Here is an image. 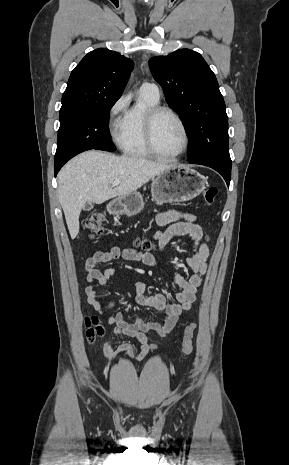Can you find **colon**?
Wrapping results in <instances>:
<instances>
[{
    "mask_svg": "<svg viewBox=\"0 0 289 465\" xmlns=\"http://www.w3.org/2000/svg\"><path fill=\"white\" fill-rule=\"evenodd\" d=\"M216 196L217 188L214 186L208 187L203 193V199L208 205L214 203ZM103 224L104 216L101 213H94L85 221V229L92 235L101 234L103 232ZM140 245L144 250H150L153 247L152 242L146 239L142 240ZM85 326L86 338L89 342H93L97 337L102 336L104 333L103 327L95 316L86 317ZM196 328V323H190L185 328L182 342V353L185 356L191 354L193 350V335L196 331Z\"/></svg>",
    "mask_w": 289,
    "mask_h": 465,
    "instance_id": "1",
    "label": "colon"
}]
</instances>
